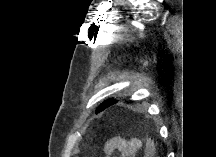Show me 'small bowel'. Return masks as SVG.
<instances>
[{
  "label": "small bowel",
  "instance_id": "1",
  "mask_svg": "<svg viewBox=\"0 0 216 157\" xmlns=\"http://www.w3.org/2000/svg\"><path fill=\"white\" fill-rule=\"evenodd\" d=\"M143 147V142L138 138L125 139L122 137L111 138L104 147L106 155H113L116 151L121 157H135ZM155 148L151 140L145 142L144 153L146 157L154 154Z\"/></svg>",
  "mask_w": 216,
  "mask_h": 157
}]
</instances>
